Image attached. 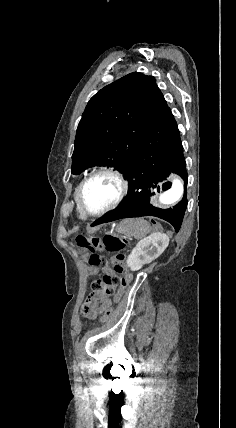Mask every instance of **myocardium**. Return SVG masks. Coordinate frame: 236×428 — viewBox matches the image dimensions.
Here are the masks:
<instances>
[{"instance_id": "myocardium-1", "label": "myocardium", "mask_w": 236, "mask_h": 428, "mask_svg": "<svg viewBox=\"0 0 236 428\" xmlns=\"http://www.w3.org/2000/svg\"><path fill=\"white\" fill-rule=\"evenodd\" d=\"M101 175H108V176H111L114 179H116L117 182L119 183L120 190H119L118 196L110 205L106 206L105 208H103L101 210L93 211V210L89 209L85 203L84 189L90 180H92L98 176H101ZM129 188H130L129 182L121 170H119L113 166L99 167V168L91 171L87 176H85L79 184L78 200H79L80 207H81L82 211L88 216L104 215L110 211L115 210L122 203V201L124 200V198L127 196L128 192H129Z\"/></svg>"}]
</instances>
